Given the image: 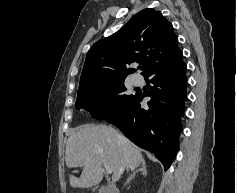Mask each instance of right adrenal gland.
<instances>
[{
  "mask_svg": "<svg viewBox=\"0 0 237 193\" xmlns=\"http://www.w3.org/2000/svg\"><path fill=\"white\" fill-rule=\"evenodd\" d=\"M138 172H141V174H143V175H147V168H146L145 162H142L141 167L139 169H137L136 171H134L129 176V178L127 179L125 185L128 184L130 182V180H132Z\"/></svg>",
  "mask_w": 237,
  "mask_h": 193,
  "instance_id": "obj_1",
  "label": "right adrenal gland"
}]
</instances>
